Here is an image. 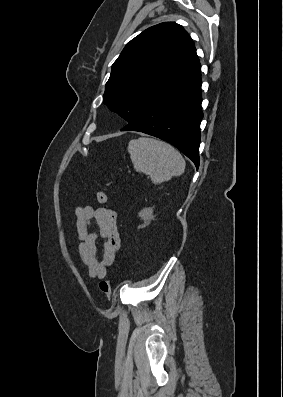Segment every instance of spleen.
I'll return each mask as SVG.
<instances>
[{
    "mask_svg": "<svg viewBox=\"0 0 283 397\" xmlns=\"http://www.w3.org/2000/svg\"><path fill=\"white\" fill-rule=\"evenodd\" d=\"M127 149L134 169L149 175L154 184H160L184 173V158L166 142L140 137L131 140Z\"/></svg>",
    "mask_w": 283,
    "mask_h": 397,
    "instance_id": "3e777b00",
    "label": "spleen"
}]
</instances>
